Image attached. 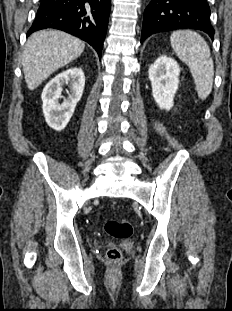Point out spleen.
Here are the masks:
<instances>
[{
  "instance_id": "1",
  "label": "spleen",
  "mask_w": 232,
  "mask_h": 311,
  "mask_svg": "<svg viewBox=\"0 0 232 311\" xmlns=\"http://www.w3.org/2000/svg\"><path fill=\"white\" fill-rule=\"evenodd\" d=\"M170 41L177 56L189 66L198 96L205 99L212 91L214 78L208 44L198 33L190 30L173 32Z\"/></svg>"
}]
</instances>
